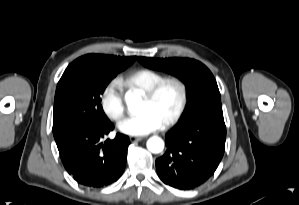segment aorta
<instances>
[{
    "mask_svg": "<svg viewBox=\"0 0 299 205\" xmlns=\"http://www.w3.org/2000/svg\"><path fill=\"white\" fill-rule=\"evenodd\" d=\"M125 99L128 110L131 113H135L140 103L138 95L135 93H127ZM147 148L152 153H160L164 149V141L160 137L153 136L147 141Z\"/></svg>",
    "mask_w": 299,
    "mask_h": 205,
    "instance_id": "obj_1",
    "label": "aorta"
}]
</instances>
